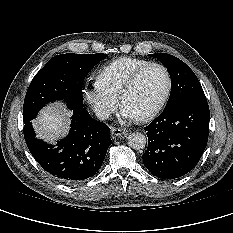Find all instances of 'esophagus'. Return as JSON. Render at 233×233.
<instances>
[{
	"label": "esophagus",
	"mask_w": 233,
	"mask_h": 233,
	"mask_svg": "<svg viewBox=\"0 0 233 233\" xmlns=\"http://www.w3.org/2000/svg\"><path fill=\"white\" fill-rule=\"evenodd\" d=\"M111 133L113 136L121 138L127 134V131L125 129L111 127Z\"/></svg>",
	"instance_id": "34e87169"
}]
</instances>
